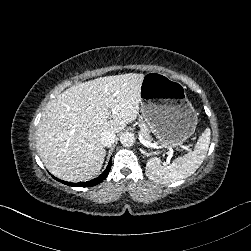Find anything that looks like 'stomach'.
<instances>
[{
    "label": "stomach",
    "mask_w": 251,
    "mask_h": 251,
    "mask_svg": "<svg viewBox=\"0 0 251 251\" xmlns=\"http://www.w3.org/2000/svg\"><path fill=\"white\" fill-rule=\"evenodd\" d=\"M141 115L167 148H178L194 134L198 113L185 87L168 75L149 72L140 86Z\"/></svg>",
    "instance_id": "1"
}]
</instances>
